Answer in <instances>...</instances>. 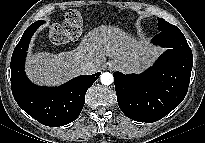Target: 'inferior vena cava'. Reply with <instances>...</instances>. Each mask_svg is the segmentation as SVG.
<instances>
[{
    "label": "inferior vena cava",
    "mask_w": 205,
    "mask_h": 143,
    "mask_svg": "<svg viewBox=\"0 0 205 143\" xmlns=\"http://www.w3.org/2000/svg\"><path fill=\"white\" fill-rule=\"evenodd\" d=\"M82 74H93L96 72V67L92 62L85 61L81 64Z\"/></svg>",
    "instance_id": "obj_1"
}]
</instances>
